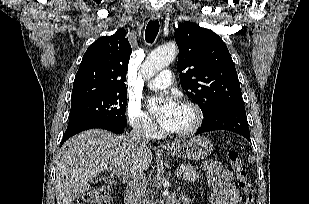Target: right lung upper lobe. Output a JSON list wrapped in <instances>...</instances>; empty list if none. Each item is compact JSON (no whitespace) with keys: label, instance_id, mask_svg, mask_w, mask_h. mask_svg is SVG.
Segmentation results:
<instances>
[{"label":"right lung upper lobe","instance_id":"cb5924a9","mask_svg":"<svg viewBox=\"0 0 309 204\" xmlns=\"http://www.w3.org/2000/svg\"><path fill=\"white\" fill-rule=\"evenodd\" d=\"M126 30L98 38L85 52L73 83L71 104L90 98L126 92L131 46Z\"/></svg>","mask_w":309,"mask_h":204}]
</instances>
